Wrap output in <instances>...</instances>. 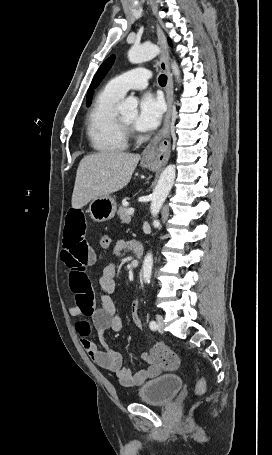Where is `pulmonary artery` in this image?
<instances>
[{
  "mask_svg": "<svg viewBox=\"0 0 272 455\" xmlns=\"http://www.w3.org/2000/svg\"><path fill=\"white\" fill-rule=\"evenodd\" d=\"M150 76L149 70L135 68L113 78L107 84V88L122 97L130 89L145 88L148 85Z\"/></svg>",
  "mask_w": 272,
  "mask_h": 455,
  "instance_id": "1",
  "label": "pulmonary artery"
}]
</instances>
